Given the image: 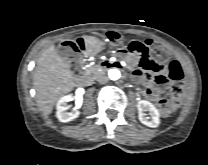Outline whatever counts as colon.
<instances>
[{
  "instance_id": "1",
  "label": "colon",
  "mask_w": 208,
  "mask_h": 165,
  "mask_svg": "<svg viewBox=\"0 0 208 165\" xmlns=\"http://www.w3.org/2000/svg\"><path fill=\"white\" fill-rule=\"evenodd\" d=\"M107 41L114 47H123V51L131 52L137 55L140 59L141 68L147 73L154 69L160 68V60L166 56L165 49L151 41L145 43L139 41L125 42L117 32H108ZM61 51L64 55H71L79 51V46L76 42L66 41L61 46ZM173 95L164 97L159 102L160 111L162 114H168L177 107V96L181 94V86L172 87Z\"/></svg>"
}]
</instances>
